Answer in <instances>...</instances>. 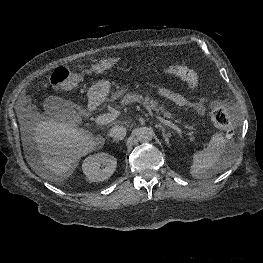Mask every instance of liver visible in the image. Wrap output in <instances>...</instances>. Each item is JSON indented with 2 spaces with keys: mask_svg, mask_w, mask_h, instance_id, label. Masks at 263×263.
<instances>
[{
  "mask_svg": "<svg viewBox=\"0 0 263 263\" xmlns=\"http://www.w3.org/2000/svg\"><path fill=\"white\" fill-rule=\"evenodd\" d=\"M23 141L27 150L32 138L39 158L27 156L31 168L42 178L57 182L66 179L76 168L81 157L97 150L104 139L78 128L72 123H58L39 114H25L17 110Z\"/></svg>",
  "mask_w": 263,
  "mask_h": 263,
  "instance_id": "liver-1",
  "label": "liver"
}]
</instances>
